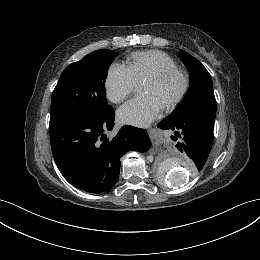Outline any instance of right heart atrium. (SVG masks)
<instances>
[{
	"label": "right heart atrium",
	"instance_id": "d8ad5b80",
	"mask_svg": "<svg viewBox=\"0 0 260 260\" xmlns=\"http://www.w3.org/2000/svg\"><path fill=\"white\" fill-rule=\"evenodd\" d=\"M136 81L127 67L112 64L105 81L106 95L113 103L124 101L134 90Z\"/></svg>",
	"mask_w": 260,
	"mask_h": 260
}]
</instances>
